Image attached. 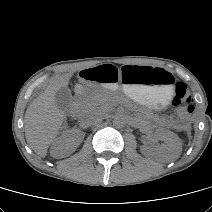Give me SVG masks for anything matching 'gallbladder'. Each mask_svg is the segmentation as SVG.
<instances>
[{"mask_svg": "<svg viewBox=\"0 0 212 212\" xmlns=\"http://www.w3.org/2000/svg\"><path fill=\"white\" fill-rule=\"evenodd\" d=\"M72 100V94L68 87L60 88L55 94V103L61 110H67Z\"/></svg>", "mask_w": 212, "mask_h": 212, "instance_id": "bac80fb5", "label": "gallbladder"}]
</instances>
